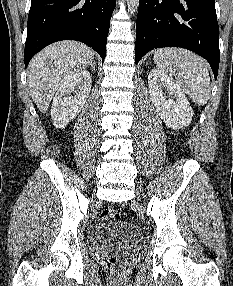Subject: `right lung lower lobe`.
<instances>
[{"mask_svg": "<svg viewBox=\"0 0 233 286\" xmlns=\"http://www.w3.org/2000/svg\"><path fill=\"white\" fill-rule=\"evenodd\" d=\"M116 0H31L25 43V68L47 45L77 40L105 58L110 18Z\"/></svg>", "mask_w": 233, "mask_h": 286, "instance_id": "obj_1", "label": "right lung lower lobe"}]
</instances>
